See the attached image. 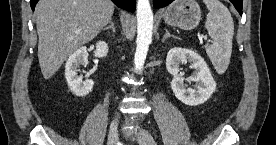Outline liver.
Here are the masks:
<instances>
[{
    "label": "liver",
    "mask_w": 276,
    "mask_h": 145,
    "mask_svg": "<svg viewBox=\"0 0 276 145\" xmlns=\"http://www.w3.org/2000/svg\"><path fill=\"white\" fill-rule=\"evenodd\" d=\"M113 13L110 0H40L35 18L44 79L51 78L75 50L94 39Z\"/></svg>",
    "instance_id": "6515ba94"
}]
</instances>
